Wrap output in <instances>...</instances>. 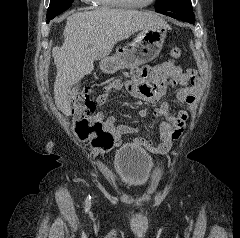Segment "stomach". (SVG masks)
I'll use <instances>...</instances> for the list:
<instances>
[{
	"instance_id": "stomach-1",
	"label": "stomach",
	"mask_w": 240,
	"mask_h": 238,
	"mask_svg": "<svg viewBox=\"0 0 240 238\" xmlns=\"http://www.w3.org/2000/svg\"><path fill=\"white\" fill-rule=\"evenodd\" d=\"M167 28L163 26L146 27L129 44L119 47L113 57L101 61L105 73L131 68L154 60L160 54L166 38Z\"/></svg>"
}]
</instances>
